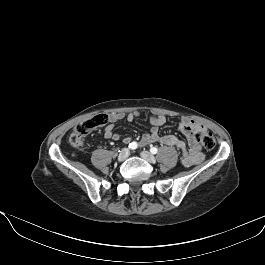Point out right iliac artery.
<instances>
[{
	"label": "right iliac artery",
	"instance_id": "obj_1",
	"mask_svg": "<svg viewBox=\"0 0 265 265\" xmlns=\"http://www.w3.org/2000/svg\"><path fill=\"white\" fill-rule=\"evenodd\" d=\"M137 143L136 142H131L130 144H129V148L131 149V150H134V149H136L137 148Z\"/></svg>",
	"mask_w": 265,
	"mask_h": 265
}]
</instances>
